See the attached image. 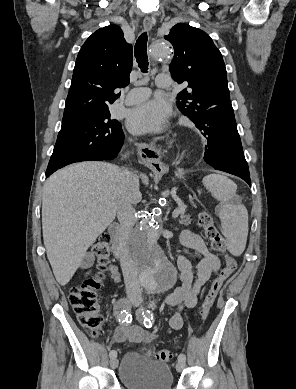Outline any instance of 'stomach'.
I'll list each match as a JSON object with an SVG mask.
<instances>
[{"label": "stomach", "mask_w": 296, "mask_h": 389, "mask_svg": "<svg viewBox=\"0 0 296 389\" xmlns=\"http://www.w3.org/2000/svg\"><path fill=\"white\" fill-rule=\"evenodd\" d=\"M151 177L153 180L161 183L163 181L164 172L162 169H151Z\"/></svg>", "instance_id": "obj_1"}]
</instances>
